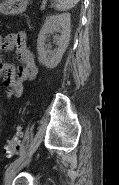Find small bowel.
Returning <instances> with one entry per match:
<instances>
[{"instance_id": "1", "label": "small bowel", "mask_w": 119, "mask_h": 185, "mask_svg": "<svg viewBox=\"0 0 119 185\" xmlns=\"http://www.w3.org/2000/svg\"><path fill=\"white\" fill-rule=\"evenodd\" d=\"M15 50L20 63L18 68L1 61L0 72L3 84L8 89L10 97H20L24 90V83L33 80L38 67L35 63L32 52L27 47V36L23 31L7 34L0 45L1 55Z\"/></svg>"}]
</instances>
